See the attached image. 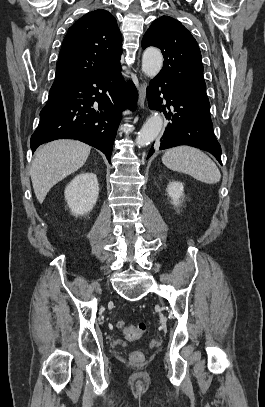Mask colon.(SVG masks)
I'll use <instances>...</instances> for the list:
<instances>
[{
    "mask_svg": "<svg viewBox=\"0 0 265 407\" xmlns=\"http://www.w3.org/2000/svg\"><path fill=\"white\" fill-rule=\"evenodd\" d=\"M118 327L122 331L125 338L130 341L139 340L144 335L147 328L145 322H138L137 324L129 325L124 321H120L118 323ZM130 360L133 362H142L144 360V355L140 351H133L130 354Z\"/></svg>",
    "mask_w": 265,
    "mask_h": 407,
    "instance_id": "colon-1",
    "label": "colon"
}]
</instances>
